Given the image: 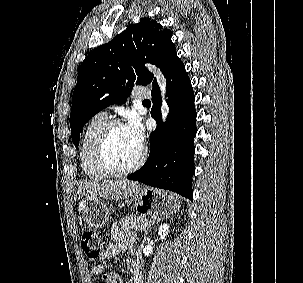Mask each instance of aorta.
<instances>
[{"label":"aorta","instance_id":"obj_1","mask_svg":"<svg viewBox=\"0 0 303 283\" xmlns=\"http://www.w3.org/2000/svg\"><path fill=\"white\" fill-rule=\"evenodd\" d=\"M151 70L154 72V74L157 77V79L160 80L161 79V73L159 71H156L155 68L154 69L152 68Z\"/></svg>","mask_w":303,"mask_h":283}]
</instances>
